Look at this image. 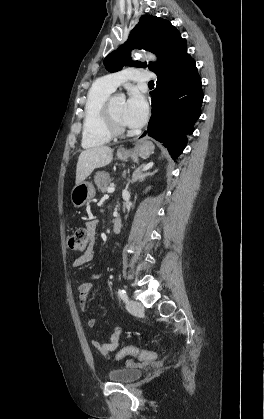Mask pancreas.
Here are the masks:
<instances>
[{
	"label": "pancreas",
	"mask_w": 264,
	"mask_h": 419,
	"mask_svg": "<svg viewBox=\"0 0 264 419\" xmlns=\"http://www.w3.org/2000/svg\"><path fill=\"white\" fill-rule=\"evenodd\" d=\"M94 182L97 185L98 189L104 193L110 187L111 178L107 172L99 171L96 173L94 177Z\"/></svg>",
	"instance_id": "pancreas-1"
}]
</instances>
